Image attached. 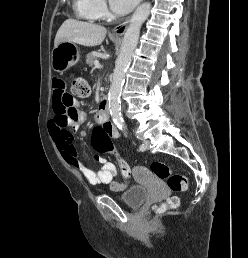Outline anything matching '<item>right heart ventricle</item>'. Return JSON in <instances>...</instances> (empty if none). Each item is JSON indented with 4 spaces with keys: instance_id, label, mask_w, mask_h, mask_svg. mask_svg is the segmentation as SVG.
Segmentation results:
<instances>
[{
    "instance_id": "1",
    "label": "right heart ventricle",
    "mask_w": 248,
    "mask_h": 258,
    "mask_svg": "<svg viewBox=\"0 0 248 258\" xmlns=\"http://www.w3.org/2000/svg\"><path fill=\"white\" fill-rule=\"evenodd\" d=\"M73 10L79 19L85 21H95L98 19L93 0H73Z\"/></svg>"
}]
</instances>
